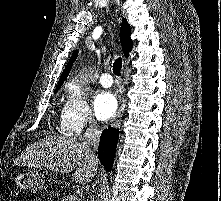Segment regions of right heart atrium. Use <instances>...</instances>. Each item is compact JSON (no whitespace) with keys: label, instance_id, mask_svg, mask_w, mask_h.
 Masks as SVG:
<instances>
[{"label":"right heart atrium","instance_id":"d8ad5b80","mask_svg":"<svg viewBox=\"0 0 221 201\" xmlns=\"http://www.w3.org/2000/svg\"><path fill=\"white\" fill-rule=\"evenodd\" d=\"M94 126L95 120L85 91L79 85L71 84L63 112V129L78 134Z\"/></svg>","mask_w":221,"mask_h":201}]
</instances>
